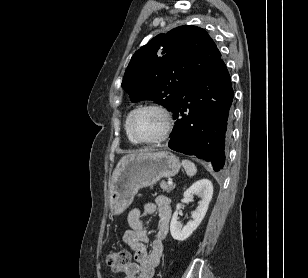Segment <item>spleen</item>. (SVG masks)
I'll return each instance as SVG.
<instances>
[{
    "label": "spleen",
    "instance_id": "spleen-1",
    "mask_svg": "<svg viewBox=\"0 0 308 278\" xmlns=\"http://www.w3.org/2000/svg\"><path fill=\"white\" fill-rule=\"evenodd\" d=\"M182 166L184 167L187 175L189 177L194 176L197 173V168L195 164L189 160H183L182 161Z\"/></svg>",
    "mask_w": 308,
    "mask_h": 278
}]
</instances>
